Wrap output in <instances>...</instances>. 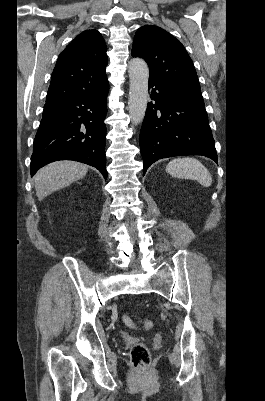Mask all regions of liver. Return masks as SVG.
I'll return each instance as SVG.
<instances>
[{"mask_svg": "<svg viewBox=\"0 0 265 401\" xmlns=\"http://www.w3.org/2000/svg\"><path fill=\"white\" fill-rule=\"evenodd\" d=\"M87 170V164L74 162V160H58V162H51V164L43 166L34 176L38 201H43V198L54 190L69 186L74 180L83 178L87 174Z\"/></svg>", "mask_w": 265, "mask_h": 401, "instance_id": "liver-1", "label": "liver"}]
</instances>
